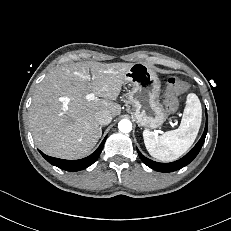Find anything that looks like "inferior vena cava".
<instances>
[{
  "label": "inferior vena cava",
  "instance_id": "1",
  "mask_svg": "<svg viewBox=\"0 0 231 231\" xmlns=\"http://www.w3.org/2000/svg\"><path fill=\"white\" fill-rule=\"evenodd\" d=\"M95 117H96V121L101 126L108 125L112 120L111 114L106 110L97 111Z\"/></svg>",
  "mask_w": 231,
  "mask_h": 231
}]
</instances>
